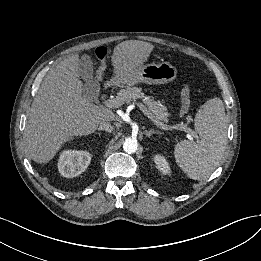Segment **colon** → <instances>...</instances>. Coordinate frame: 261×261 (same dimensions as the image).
<instances>
[{
	"label": "colon",
	"mask_w": 261,
	"mask_h": 261,
	"mask_svg": "<svg viewBox=\"0 0 261 261\" xmlns=\"http://www.w3.org/2000/svg\"><path fill=\"white\" fill-rule=\"evenodd\" d=\"M106 55H107V53L104 54V56H106ZM183 92H184L185 95L190 96V90H189L188 87H185V88L183 89ZM180 113H181L182 115H184V114H186L187 112H185V110L181 107Z\"/></svg>",
	"instance_id": "5ec220e1"
}]
</instances>
